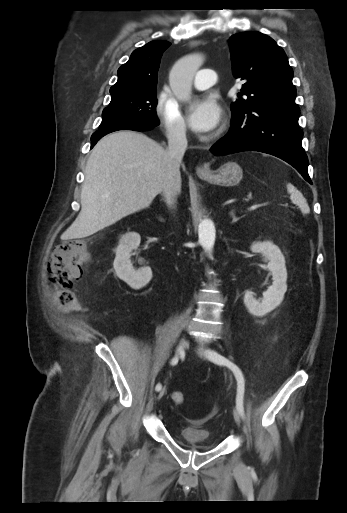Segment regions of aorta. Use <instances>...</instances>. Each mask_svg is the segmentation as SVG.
Returning <instances> with one entry per match:
<instances>
[{"instance_id": "1", "label": "aorta", "mask_w": 347, "mask_h": 513, "mask_svg": "<svg viewBox=\"0 0 347 513\" xmlns=\"http://www.w3.org/2000/svg\"><path fill=\"white\" fill-rule=\"evenodd\" d=\"M201 54H190L179 59L169 74L170 87L180 101H189L192 93V80L203 63ZM215 227L211 220L204 219L199 225V240L210 255L215 243Z\"/></svg>"}]
</instances>
